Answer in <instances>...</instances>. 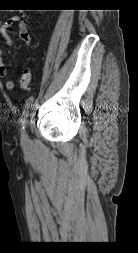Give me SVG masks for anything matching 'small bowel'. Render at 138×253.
<instances>
[{
    "mask_svg": "<svg viewBox=\"0 0 138 253\" xmlns=\"http://www.w3.org/2000/svg\"><path fill=\"white\" fill-rule=\"evenodd\" d=\"M16 24L18 26L19 37L23 41L24 45L29 48L32 44V39L28 31L26 23H24L19 17L14 16L8 19L0 26V35L4 39V42L7 46H12L13 42L9 35V28ZM8 74V69L4 63L3 52L0 49V77H5ZM5 87L8 90H12L15 87V82L13 79H9L5 83Z\"/></svg>",
    "mask_w": 138,
    "mask_h": 253,
    "instance_id": "c3829d8e",
    "label": "small bowel"
}]
</instances>
